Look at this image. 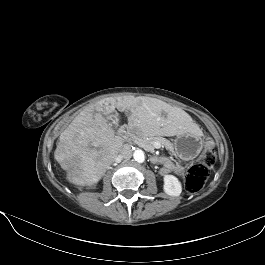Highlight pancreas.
I'll list each match as a JSON object with an SVG mask.
<instances>
[{"mask_svg": "<svg viewBox=\"0 0 265 265\" xmlns=\"http://www.w3.org/2000/svg\"><path fill=\"white\" fill-rule=\"evenodd\" d=\"M131 140L138 144L140 147L144 148L146 151L153 152L154 151V142H160L163 147H165L171 154H174V146L173 144L160 136L155 137H131Z\"/></svg>", "mask_w": 265, "mask_h": 265, "instance_id": "obj_1", "label": "pancreas"}]
</instances>
